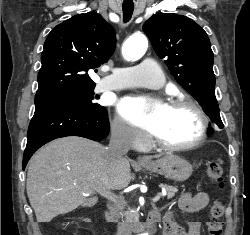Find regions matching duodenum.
<instances>
[{
	"label": "duodenum",
	"mask_w": 250,
	"mask_h": 235,
	"mask_svg": "<svg viewBox=\"0 0 250 235\" xmlns=\"http://www.w3.org/2000/svg\"><path fill=\"white\" fill-rule=\"evenodd\" d=\"M107 221L109 222H112L113 221V217L110 213L107 214V217H106ZM160 220V217L158 215V213L156 212H152L149 216H148V224L151 225V226H154L156 225Z\"/></svg>",
	"instance_id": "obj_1"
}]
</instances>
